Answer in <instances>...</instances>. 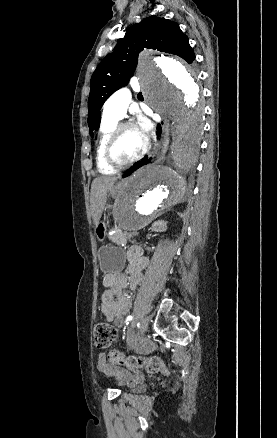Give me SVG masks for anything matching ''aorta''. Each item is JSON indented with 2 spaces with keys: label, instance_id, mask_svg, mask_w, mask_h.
Wrapping results in <instances>:
<instances>
[{
  "label": "aorta",
  "instance_id": "obj_1",
  "mask_svg": "<svg viewBox=\"0 0 277 438\" xmlns=\"http://www.w3.org/2000/svg\"><path fill=\"white\" fill-rule=\"evenodd\" d=\"M138 77L151 107L172 121V157L182 171L189 168L202 132L201 85L193 66L167 56L142 55ZM186 185L168 166L149 165L126 183L115 204L118 225L136 231L181 201Z\"/></svg>",
  "mask_w": 277,
  "mask_h": 438
}]
</instances>
